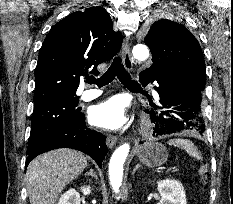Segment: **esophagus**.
Masks as SVG:
<instances>
[{"label": "esophagus", "mask_w": 233, "mask_h": 204, "mask_svg": "<svg viewBox=\"0 0 233 204\" xmlns=\"http://www.w3.org/2000/svg\"><path fill=\"white\" fill-rule=\"evenodd\" d=\"M123 63L126 69L131 70L133 66V59L130 54L129 39H124L122 47ZM117 142V137L114 135H108L106 139V144L109 148H112Z\"/></svg>", "instance_id": "1"}]
</instances>
